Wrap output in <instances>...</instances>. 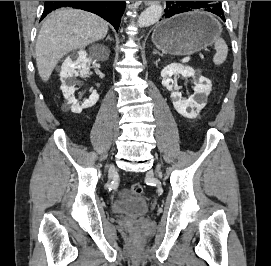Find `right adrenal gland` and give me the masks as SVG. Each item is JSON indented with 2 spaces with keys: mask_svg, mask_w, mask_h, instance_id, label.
I'll return each mask as SVG.
<instances>
[{
  "mask_svg": "<svg viewBox=\"0 0 271 266\" xmlns=\"http://www.w3.org/2000/svg\"><path fill=\"white\" fill-rule=\"evenodd\" d=\"M106 40H111L112 41V38L108 35Z\"/></svg>",
  "mask_w": 271,
  "mask_h": 266,
  "instance_id": "2a0ac1e0",
  "label": "right adrenal gland"
}]
</instances>
